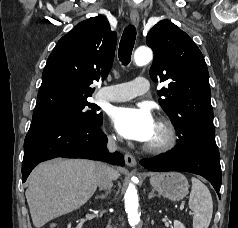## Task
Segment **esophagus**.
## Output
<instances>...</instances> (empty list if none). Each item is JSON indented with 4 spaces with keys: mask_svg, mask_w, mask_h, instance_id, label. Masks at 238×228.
<instances>
[{
    "mask_svg": "<svg viewBox=\"0 0 238 228\" xmlns=\"http://www.w3.org/2000/svg\"><path fill=\"white\" fill-rule=\"evenodd\" d=\"M130 19L135 26L139 25L140 18H139V13L136 9L131 10ZM125 162L130 167L136 166V159L130 153L125 154Z\"/></svg>",
    "mask_w": 238,
    "mask_h": 228,
    "instance_id": "obj_1",
    "label": "esophagus"
}]
</instances>
